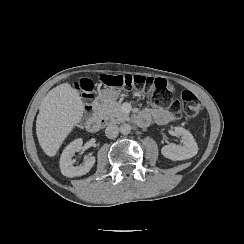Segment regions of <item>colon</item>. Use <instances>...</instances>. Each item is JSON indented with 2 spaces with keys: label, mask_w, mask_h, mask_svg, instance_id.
<instances>
[{
  "label": "colon",
  "mask_w": 244,
  "mask_h": 244,
  "mask_svg": "<svg viewBox=\"0 0 244 244\" xmlns=\"http://www.w3.org/2000/svg\"><path fill=\"white\" fill-rule=\"evenodd\" d=\"M99 79L101 83L108 86L134 88L139 93L145 92L150 103L158 107L169 108L178 116L184 113L188 118H197L203 107L200 99L191 90L182 92L181 101L173 97L168 82L162 78L143 75L102 74ZM93 90L92 83L85 82L83 84L82 92L86 101L93 99Z\"/></svg>",
  "instance_id": "obj_1"
}]
</instances>
